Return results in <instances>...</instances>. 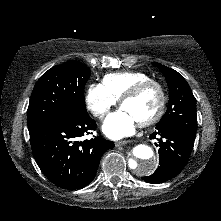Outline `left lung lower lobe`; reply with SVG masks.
Wrapping results in <instances>:
<instances>
[{
  "instance_id": "0a47b994",
  "label": "left lung lower lobe",
  "mask_w": 221,
  "mask_h": 221,
  "mask_svg": "<svg viewBox=\"0 0 221 221\" xmlns=\"http://www.w3.org/2000/svg\"><path fill=\"white\" fill-rule=\"evenodd\" d=\"M160 137L159 163L156 171L142 179L148 183L158 184L172 179L185 167L195 137L186 134L174 126H156V131L150 135V139Z\"/></svg>"
}]
</instances>
